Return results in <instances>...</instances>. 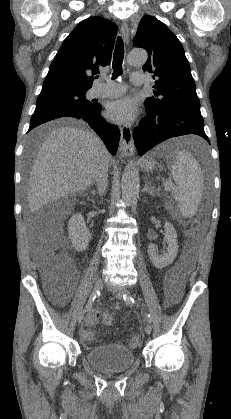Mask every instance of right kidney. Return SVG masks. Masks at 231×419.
Returning a JSON list of instances; mask_svg holds the SVG:
<instances>
[{"mask_svg": "<svg viewBox=\"0 0 231 419\" xmlns=\"http://www.w3.org/2000/svg\"><path fill=\"white\" fill-rule=\"evenodd\" d=\"M68 234L73 247L78 252H83L87 248L91 235L81 214H74L69 219Z\"/></svg>", "mask_w": 231, "mask_h": 419, "instance_id": "right-kidney-1", "label": "right kidney"}]
</instances>
